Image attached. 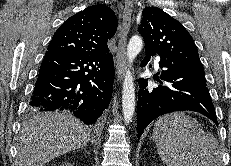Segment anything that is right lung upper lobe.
<instances>
[{"instance_id":"obj_1","label":"right lung upper lobe","mask_w":231,"mask_h":166,"mask_svg":"<svg viewBox=\"0 0 231 166\" xmlns=\"http://www.w3.org/2000/svg\"><path fill=\"white\" fill-rule=\"evenodd\" d=\"M118 20L106 5L90 6L67 19L54 33L47 52L68 55H98L109 51L107 41L116 32Z\"/></svg>"}]
</instances>
